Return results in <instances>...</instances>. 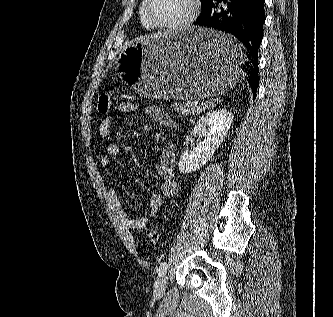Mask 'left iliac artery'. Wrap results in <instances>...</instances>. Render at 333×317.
<instances>
[{
  "mask_svg": "<svg viewBox=\"0 0 333 317\" xmlns=\"http://www.w3.org/2000/svg\"><path fill=\"white\" fill-rule=\"evenodd\" d=\"M167 271V263L166 262H162L160 264L159 270H158V275L159 276H163L166 274Z\"/></svg>",
  "mask_w": 333,
  "mask_h": 317,
  "instance_id": "1",
  "label": "left iliac artery"
}]
</instances>
